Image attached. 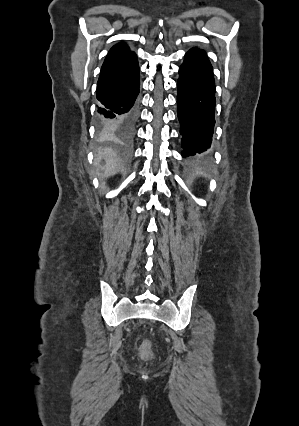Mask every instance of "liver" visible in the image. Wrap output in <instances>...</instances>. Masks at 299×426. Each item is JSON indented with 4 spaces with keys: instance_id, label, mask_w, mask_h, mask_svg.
I'll return each instance as SVG.
<instances>
[{
    "instance_id": "6515ba94",
    "label": "liver",
    "mask_w": 299,
    "mask_h": 426,
    "mask_svg": "<svg viewBox=\"0 0 299 426\" xmlns=\"http://www.w3.org/2000/svg\"><path fill=\"white\" fill-rule=\"evenodd\" d=\"M98 159H103L105 161V165L101 167L104 172L103 176L109 177L116 174L120 167V160L111 148L98 150Z\"/></svg>"
}]
</instances>
